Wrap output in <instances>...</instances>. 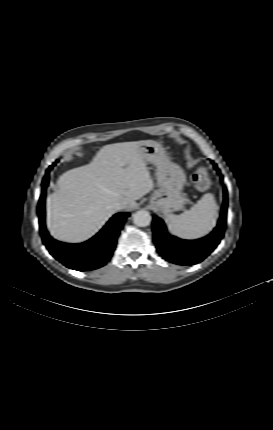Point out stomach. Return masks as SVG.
I'll list each match as a JSON object with an SVG mask.
<instances>
[{"mask_svg":"<svg viewBox=\"0 0 273 430\" xmlns=\"http://www.w3.org/2000/svg\"><path fill=\"white\" fill-rule=\"evenodd\" d=\"M139 154L146 164L151 163L157 167L159 188L150 198V204L165 215L182 209L185 202L182 190L186 183L182 168L171 162L163 146L153 140L143 141L139 146Z\"/></svg>","mask_w":273,"mask_h":430,"instance_id":"1","label":"stomach"}]
</instances>
